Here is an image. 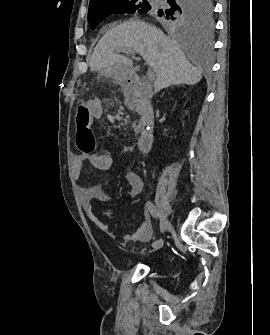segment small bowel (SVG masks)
Listing matches in <instances>:
<instances>
[{
    "mask_svg": "<svg viewBox=\"0 0 270 335\" xmlns=\"http://www.w3.org/2000/svg\"><path fill=\"white\" fill-rule=\"evenodd\" d=\"M88 105L92 110L93 117L95 119H100L103 115V111L98 103L94 100H90ZM133 152L134 148L132 146H126L122 150V154L124 155H129ZM86 162H90L97 169L106 170L112 165L113 157L106 153L75 155L73 159V172L76 179L82 177ZM125 180L129 185V197L135 198L143 189L141 176L137 171L129 169L125 173ZM80 197L88 218L102 231L109 235H114L115 233L111 231L108 224L96 214L93 207L94 201H108L109 197L106 190L100 187L81 188ZM111 214L114 215L116 213L112 212ZM143 214L144 221L139 228L134 233L126 235L125 239L130 241H144L151 237L152 226L149 220V213L145 210Z\"/></svg>",
    "mask_w": 270,
    "mask_h": 335,
    "instance_id": "c3829d8e",
    "label": "small bowel"
}]
</instances>
